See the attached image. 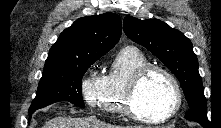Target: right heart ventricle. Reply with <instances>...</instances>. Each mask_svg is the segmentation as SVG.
I'll return each instance as SVG.
<instances>
[{"label":"right heart ventricle","mask_w":221,"mask_h":128,"mask_svg":"<svg viewBox=\"0 0 221 128\" xmlns=\"http://www.w3.org/2000/svg\"><path fill=\"white\" fill-rule=\"evenodd\" d=\"M147 57L136 47H125L114 57L99 95L103 112L112 115H127L125 95L128 83L135 72L148 65Z\"/></svg>","instance_id":"right-heart-ventricle-1"}]
</instances>
